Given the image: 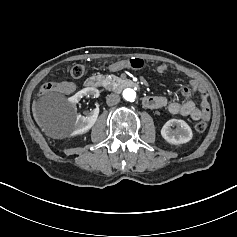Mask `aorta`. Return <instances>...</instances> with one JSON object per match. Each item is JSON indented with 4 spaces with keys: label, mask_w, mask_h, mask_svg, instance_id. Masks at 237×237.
<instances>
[{
    "label": "aorta",
    "mask_w": 237,
    "mask_h": 237,
    "mask_svg": "<svg viewBox=\"0 0 237 237\" xmlns=\"http://www.w3.org/2000/svg\"><path fill=\"white\" fill-rule=\"evenodd\" d=\"M123 97L129 102H134L136 99V92L131 88H127L123 91Z\"/></svg>",
    "instance_id": "obj_1"
}]
</instances>
